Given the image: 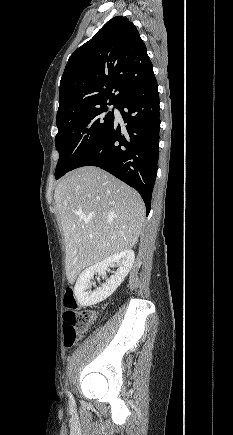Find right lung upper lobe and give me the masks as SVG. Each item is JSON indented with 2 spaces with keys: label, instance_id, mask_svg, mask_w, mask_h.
<instances>
[{
  "label": "right lung upper lobe",
  "instance_id": "right-lung-upper-lobe-1",
  "mask_svg": "<svg viewBox=\"0 0 233 435\" xmlns=\"http://www.w3.org/2000/svg\"><path fill=\"white\" fill-rule=\"evenodd\" d=\"M152 73L135 25L123 16L112 18L70 56L60 81L56 122L107 103L118 106Z\"/></svg>",
  "mask_w": 233,
  "mask_h": 435
}]
</instances>
